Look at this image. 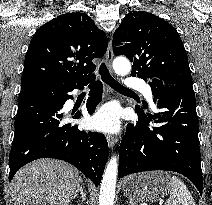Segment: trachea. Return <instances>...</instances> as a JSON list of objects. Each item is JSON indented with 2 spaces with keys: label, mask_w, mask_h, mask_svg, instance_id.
I'll return each instance as SVG.
<instances>
[{
  "label": "trachea",
  "mask_w": 212,
  "mask_h": 205,
  "mask_svg": "<svg viewBox=\"0 0 212 205\" xmlns=\"http://www.w3.org/2000/svg\"><path fill=\"white\" fill-rule=\"evenodd\" d=\"M99 74L102 80L110 87L121 93H134L132 90L124 87L118 81H116L109 73L105 63H102L99 67Z\"/></svg>",
  "instance_id": "3493384b"
}]
</instances>
